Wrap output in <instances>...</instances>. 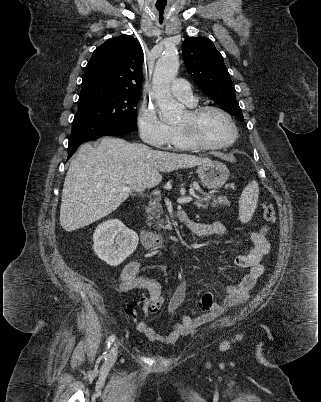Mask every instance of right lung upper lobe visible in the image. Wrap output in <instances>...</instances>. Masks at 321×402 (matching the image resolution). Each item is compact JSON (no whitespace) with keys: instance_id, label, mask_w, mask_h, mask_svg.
Listing matches in <instances>:
<instances>
[{"instance_id":"1","label":"right lung upper lobe","mask_w":321,"mask_h":402,"mask_svg":"<svg viewBox=\"0 0 321 402\" xmlns=\"http://www.w3.org/2000/svg\"><path fill=\"white\" fill-rule=\"evenodd\" d=\"M142 49L130 35L107 40L88 62L82 88H103L140 95Z\"/></svg>"}]
</instances>
